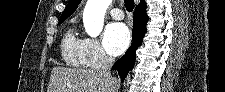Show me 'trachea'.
<instances>
[{"instance_id": "obj_1", "label": "trachea", "mask_w": 225, "mask_h": 92, "mask_svg": "<svg viewBox=\"0 0 225 92\" xmlns=\"http://www.w3.org/2000/svg\"><path fill=\"white\" fill-rule=\"evenodd\" d=\"M125 8L128 12L134 9V0H124Z\"/></svg>"}]
</instances>
